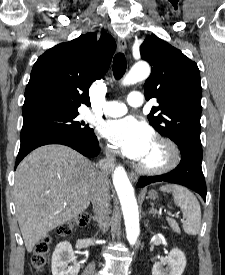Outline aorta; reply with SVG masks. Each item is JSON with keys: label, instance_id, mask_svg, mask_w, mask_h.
<instances>
[{"label": "aorta", "instance_id": "1", "mask_svg": "<svg viewBox=\"0 0 225 275\" xmlns=\"http://www.w3.org/2000/svg\"><path fill=\"white\" fill-rule=\"evenodd\" d=\"M150 74V67L145 62L135 64L126 77L123 85H130L146 79ZM113 184L120 200L123 211L127 239L134 245L140 233L138 205L134 195V189L127 173L121 165L113 172Z\"/></svg>", "mask_w": 225, "mask_h": 275}]
</instances>
